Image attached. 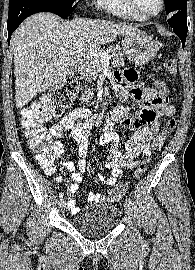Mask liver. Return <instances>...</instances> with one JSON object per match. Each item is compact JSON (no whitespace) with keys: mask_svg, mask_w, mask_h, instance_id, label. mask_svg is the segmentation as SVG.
<instances>
[{"mask_svg":"<svg viewBox=\"0 0 195 270\" xmlns=\"http://www.w3.org/2000/svg\"><path fill=\"white\" fill-rule=\"evenodd\" d=\"M140 31L132 25L100 19L61 22L51 13L28 17L12 34L15 102L18 108L38 93L63 82L78 50L99 51L117 36Z\"/></svg>","mask_w":195,"mask_h":270,"instance_id":"obj_1","label":"liver"}]
</instances>
